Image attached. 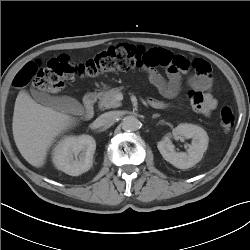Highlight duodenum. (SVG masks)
Segmentation results:
<instances>
[{
	"label": "duodenum",
	"mask_w": 250,
	"mask_h": 250,
	"mask_svg": "<svg viewBox=\"0 0 250 250\" xmlns=\"http://www.w3.org/2000/svg\"><path fill=\"white\" fill-rule=\"evenodd\" d=\"M101 95V91L98 89H92L84 97V105H85V114L84 118L86 120H90L94 115V105L97 102L99 96ZM148 104L152 108L160 109L159 102L155 99H150Z\"/></svg>",
	"instance_id": "410a0bca"
}]
</instances>
